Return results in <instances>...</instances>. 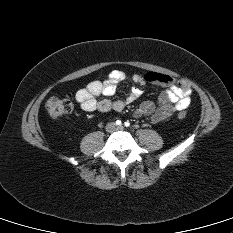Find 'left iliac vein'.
Here are the masks:
<instances>
[{"label":"left iliac vein","instance_id":"1","mask_svg":"<svg viewBox=\"0 0 233 233\" xmlns=\"http://www.w3.org/2000/svg\"><path fill=\"white\" fill-rule=\"evenodd\" d=\"M117 129H118V130H123L124 127L121 125V126H118Z\"/></svg>","mask_w":233,"mask_h":233}]
</instances>
